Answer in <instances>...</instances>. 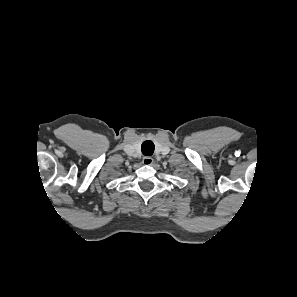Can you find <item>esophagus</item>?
Listing matches in <instances>:
<instances>
[{"instance_id":"1","label":"esophagus","mask_w":297,"mask_h":297,"mask_svg":"<svg viewBox=\"0 0 297 297\" xmlns=\"http://www.w3.org/2000/svg\"><path fill=\"white\" fill-rule=\"evenodd\" d=\"M154 162L153 158L152 157H149V156H146L142 159V163L144 165H152Z\"/></svg>"}]
</instances>
